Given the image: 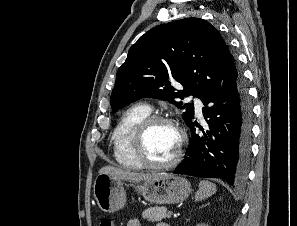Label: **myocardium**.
Returning <instances> with one entry per match:
<instances>
[{
    "label": "myocardium",
    "instance_id": "myocardium-1",
    "mask_svg": "<svg viewBox=\"0 0 297 226\" xmlns=\"http://www.w3.org/2000/svg\"><path fill=\"white\" fill-rule=\"evenodd\" d=\"M159 122L172 125L178 133V145L173 157L170 160L162 163L151 161L145 152L146 134L153 124ZM186 140V132L177 120L167 115L149 114L135 127L131 138V150L135 158L141 163L142 166L153 170L169 169L176 166L180 162L183 156Z\"/></svg>",
    "mask_w": 297,
    "mask_h": 226
}]
</instances>
